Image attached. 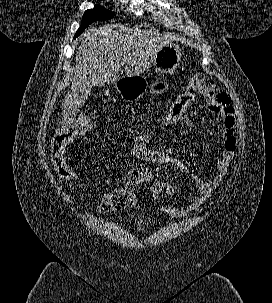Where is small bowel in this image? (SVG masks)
<instances>
[{"mask_svg": "<svg viewBox=\"0 0 272 303\" xmlns=\"http://www.w3.org/2000/svg\"><path fill=\"white\" fill-rule=\"evenodd\" d=\"M200 94L206 100L207 110L222 118V138L223 152L221 158L216 164V172L210 180L203 179L200 175L193 172L187 165L174 158L167 150L163 148H143L133 149V155L142 161L152 164H171L183 174L189 176L197 190V196L185 207L176 208L170 205L162 206V211L173 217H184L197 211L211 196V194L222 184L227 172L229 162L234 158L237 140L235 136V111L231 104V97L223 91L218 90L215 86L204 85ZM151 172L144 167H132L125 174L122 184L125 191L127 187H136L150 181ZM175 188L170 183H164L161 191L153 193L155 199L162 196H175Z\"/></svg>", "mask_w": 272, "mask_h": 303, "instance_id": "small-bowel-1", "label": "small bowel"}]
</instances>
